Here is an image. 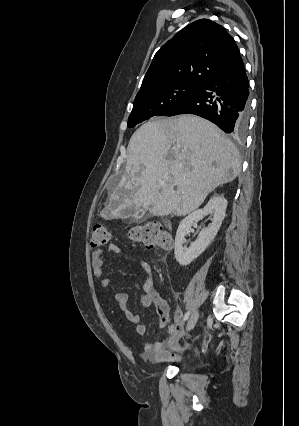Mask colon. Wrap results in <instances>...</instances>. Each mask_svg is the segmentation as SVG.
<instances>
[{
	"instance_id": "1",
	"label": "colon",
	"mask_w": 299,
	"mask_h": 426,
	"mask_svg": "<svg viewBox=\"0 0 299 426\" xmlns=\"http://www.w3.org/2000/svg\"><path fill=\"white\" fill-rule=\"evenodd\" d=\"M130 239L140 242L148 248L169 249L172 240L163 226L157 222H150L142 226H137L129 231ZM109 232L100 223L93 226L91 231L90 245L96 249H107L110 245Z\"/></svg>"
}]
</instances>
